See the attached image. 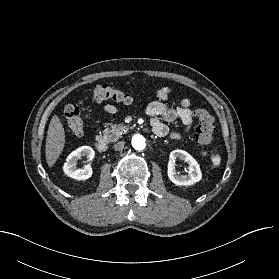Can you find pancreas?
<instances>
[{
    "label": "pancreas",
    "mask_w": 279,
    "mask_h": 279,
    "mask_svg": "<svg viewBox=\"0 0 279 279\" xmlns=\"http://www.w3.org/2000/svg\"><path fill=\"white\" fill-rule=\"evenodd\" d=\"M126 131V127L120 124H115L111 129L103 130V135H100L106 142L117 141Z\"/></svg>",
    "instance_id": "obj_1"
}]
</instances>
